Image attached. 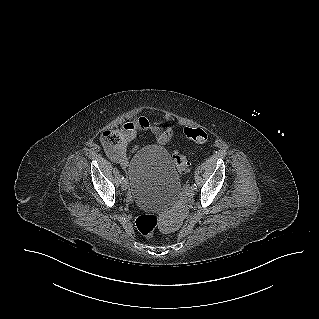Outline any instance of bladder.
I'll return each instance as SVG.
<instances>
[{
    "label": "bladder",
    "instance_id": "obj_1",
    "mask_svg": "<svg viewBox=\"0 0 319 319\" xmlns=\"http://www.w3.org/2000/svg\"><path fill=\"white\" fill-rule=\"evenodd\" d=\"M135 204L150 211H163L177 199L180 176L168 151L159 145L138 150L127 165Z\"/></svg>",
    "mask_w": 319,
    "mask_h": 319
}]
</instances>
